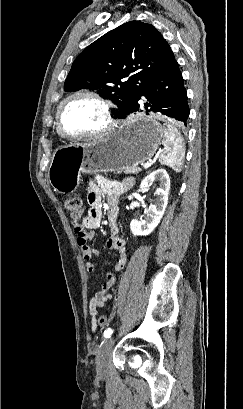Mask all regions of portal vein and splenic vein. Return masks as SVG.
I'll return each instance as SVG.
<instances>
[{
  "label": "portal vein and splenic vein",
  "mask_w": 243,
  "mask_h": 409,
  "mask_svg": "<svg viewBox=\"0 0 243 409\" xmlns=\"http://www.w3.org/2000/svg\"><path fill=\"white\" fill-rule=\"evenodd\" d=\"M143 167H144L145 169L148 168V167H150V163H149V162L145 163V164L143 165Z\"/></svg>",
  "instance_id": "1"
}]
</instances>
